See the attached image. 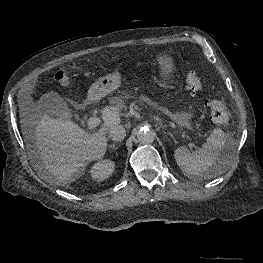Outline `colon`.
Segmentation results:
<instances>
[{"label": "colon", "mask_w": 263, "mask_h": 263, "mask_svg": "<svg viewBox=\"0 0 263 263\" xmlns=\"http://www.w3.org/2000/svg\"><path fill=\"white\" fill-rule=\"evenodd\" d=\"M58 80H64L65 76L59 72L56 76ZM187 88L193 94L201 89V82L198 76L193 71H188L186 74ZM205 105L211 111V118L218 125H226L229 122V112L222 101L218 99H206Z\"/></svg>", "instance_id": "1"}]
</instances>
